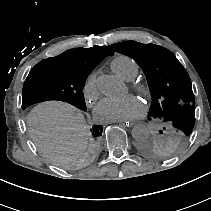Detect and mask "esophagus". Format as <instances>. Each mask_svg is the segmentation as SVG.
I'll use <instances>...</instances> for the list:
<instances>
[{"label":"esophagus","mask_w":211,"mask_h":211,"mask_svg":"<svg viewBox=\"0 0 211 211\" xmlns=\"http://www.w3.org/2000/svg\"><path fill=\"white\" fill-rule=\"evenodd\" d=\"M120 122H122L121 124H122V126L123 127H125V128H132V123H130V122H127V121H118V120H114V121H111L110 123H120Z\"/></svg>","instance_id":"1"}]
</instances>
